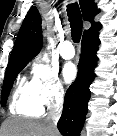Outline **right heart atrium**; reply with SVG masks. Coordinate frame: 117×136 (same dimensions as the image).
<instances>
[{
	"label": "right heart atrium",
	"mask_w": 117,
	"mask_h": 136,
	"mask_svg": "<svg viewBox=\"0 0 117 136\" xmlns=\"http://www.w3.org/2000/svg\"><path fill=\"white\" fill-rule=\"evenodd\" d=\"M29 85L31 93L42 107L56 105L65 95V88L57 71L42 57H37L32 62Z\"/></svg>",
	"instance_id": "right-heart-atrium-1"
}]
</instances>
